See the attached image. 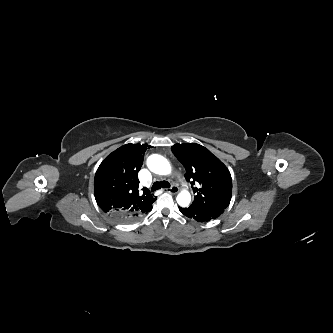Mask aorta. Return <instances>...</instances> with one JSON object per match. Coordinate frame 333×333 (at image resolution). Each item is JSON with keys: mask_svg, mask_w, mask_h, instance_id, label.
<instances>
[{"mask_svg": "<svg viewBox=\"0 0 333 333\" xmlns=\"http://www.w3.org/2000/svg\"><path fill=\"white\" fill-rule=\"evenodd\" d=\"M148 168L155 174L168 175L171 172V166L168 160L158 154H153L147 159ZM177 203L181 207H187L191 202V195L188 191H182L177 195Z\"/></svg>", "mask_w": 333, "mask_h": 333, "instance_id": "obj_1", "label": "aorta"}]
</instances>
